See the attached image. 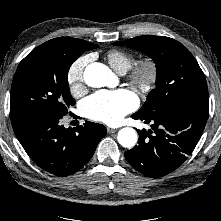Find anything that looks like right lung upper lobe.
Listing matches in <instances>:
<instances>
[{
    "mask_svg": "<svg viewBox=\"0 0 221 221\" xmlns=\"http://www.w3.org/2000/svg\"><path fill=\"white\" fill-rule=\"evenodd\" d=\"M52 40H67V41L72 42L74 45H76L78 47H82V48L91 47L93 45V44L88 43L84 40L75 39V38H71V37H60V38H55Z\"/></svg>",
    "mask_w": 221,
    "mask_h": 221,
    "instance_id": "right-lung-upper-lobe-1",
    "label": "right lung upper lobe"
}]
</instances>
